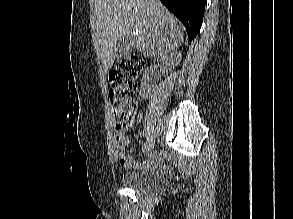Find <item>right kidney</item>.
<instances>
[{"label":"right kidney","mask_w":293,"mask_h":219,"mask_svg":"<svg viewBox=\"0 0 293 219\" xmlns=\"http://www.w3.org/2000/svg\"><path fill=\"white\" fill-rule=\"evenodd\" d=\"M161 70L162 74L165 76L171 71L172 67L175 65V59L173 55H165L161 58ZM150 77L148 71H145L141 80V94L144 97H147L151 91L152 85L149 84Z\"/></svg>","instance_id":"ca27d5eb"}]
</instances>
